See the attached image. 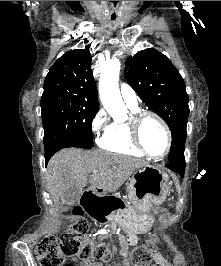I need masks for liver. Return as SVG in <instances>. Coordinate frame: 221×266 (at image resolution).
I'll list each match as a JSON object with an SVG mask.
<instances>
[{"label":"liver","mask_w":221,"mask_h":266,"mask_svg":"<svg viewBox=\"0 0 221 266\" xmlns=\"http://www.w3.org/2000/svg\"><path fill=\"white\" fill-rule=\"evenodd\" d=\"M149 165L143 159L102 150L64 149L48 163L46 181L54 203H59L70 186L83 189L88 181L93 189L115 192L137 169ZM96 174L88 175L94 170Z\"/></svg>","instance_id":"1"}]
</instances>
